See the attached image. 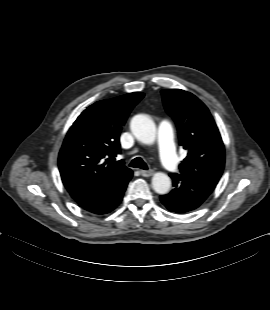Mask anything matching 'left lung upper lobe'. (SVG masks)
Here are the masks:
<instances>
[{"label": "left lung upper lobe", "mask_w": 270, "mask_h": 310, "mask_svg": "<svg viewBox=\"0 0 270 310\" xmlns=\"http://www.w3.org/2000/svg\"><path fill=\"white\" fill-rule=\"evenodd\" d=\"M167 113L174 119L179 144L188 151L179 165L181 177L217 185L225 162L224 145L208 108L181 89L162 90Z\"/></svg>", "instance_id": "obj_1"}]
</instances>
